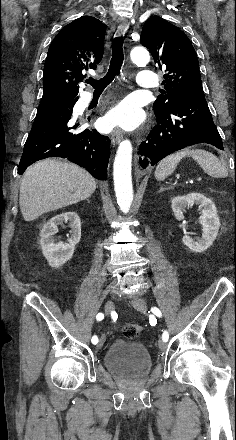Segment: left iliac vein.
Here are the masks:
<instances>
[{
    "instance_id": "4c4485c4",
    "label": "left iliac vein",
    "mask_w": 236,
    "mask_h": 440,
    "mask_svg": "<svg viewBox=\"0 0 236 440\" xmlns=\"http://www.w3.org/2000/svg\"><path fill=\"white\" fill-rule=\"evenodd\" d=\"M131 305L135 309H137L138 311H141V312H145L147 310V304H146L145 300L140 297H134L131 300ZM158 345H159L160 350H165L167 347L166 341H164L163 339L159 341Z\"/></svg>"
}]
</instances>
